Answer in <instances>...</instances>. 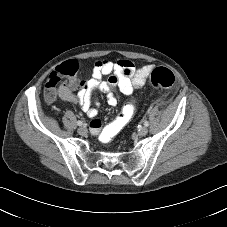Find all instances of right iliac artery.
<instances>
[{"mask_svg": "<svg viewBox=\"0 0 227 227\" xmlns=\"http://www.w3.org/2000/svg\"><path fill=\"white\" fill-rule=\"evenodd\" d=\"M77 125H78V126H82V125H84V123H83L82 121H78V122H77Z\"/></svg>", "mask_w": 227, "mask_h": 227, "instance_id": "82829eb1", "label": "right iliac artery"}]
</instances>
